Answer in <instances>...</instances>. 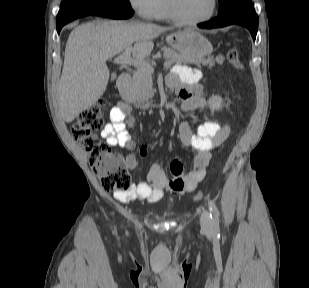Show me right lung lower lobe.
<instances>
[{
  "label": "right lung lower lobe",
  "instance_id": "98d812e1",
  "mask_svg": "<svg viewBox=\"0 0 309 288\" xmlns=\"http://www.w3.org/2000/svg\"><path fill=\"white\" fill-rule=\"evenodd\" d=\"M88 15L103 16V17H108V18H113V19H127L133 15V11L131 8L106 6V5H96V6L87 7L71 15L63 22L56 24L58 33L61 31L62 27L68 22L75 20L77 18L83 17V16H88Z\"/></svg>",
  "mask_w": 309,
  "mask_h": 288
}]
</instances>
